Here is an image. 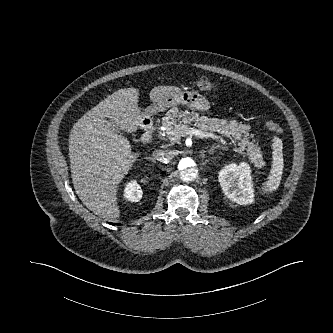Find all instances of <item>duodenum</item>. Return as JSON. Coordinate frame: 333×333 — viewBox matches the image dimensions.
<instances>
[{"label": "duodenum", "instance_id": "410a0bca", "mask_svg": "<svg viewBox=\"0 0 333 333\" xmlns=\"http://www.w3.org/2000/svg\"><path fill=\"white\" fill-rule=\"evenodd\" d=\"M148 122L146 123V140H150L152 138V131H153V126L151 120H147Z\"/></svg>", "mask_w": 333, "mask_h": 333}]
</instances>
